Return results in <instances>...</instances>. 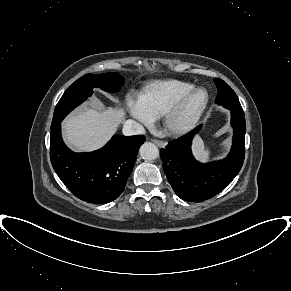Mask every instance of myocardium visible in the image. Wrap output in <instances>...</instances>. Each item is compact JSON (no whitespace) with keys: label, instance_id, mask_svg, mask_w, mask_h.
<instances>
[{"label":"myocardium","instance_id":"1","mask_svg":"<svg viewBox=\"0 0 291 291\" xmlns=\"http://www.w3.org/2000/svg\"><path fill=\"white\" fill-rule=\"evenodd\" d=\"M202 92L204 100L197 110L188 118L182 120L181 116L191 98ZM209 104V94L206 89L194 87L179 97L163 114L162 124L164 131L171 136H182L190 132L200 121Z\"/></svg>","mask_w":291,"mask_h":291}]
</instances>
